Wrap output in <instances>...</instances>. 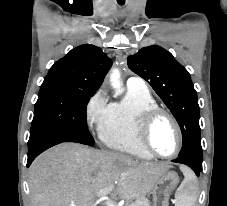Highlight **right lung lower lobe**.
<instances>
[{"instance_id": "98d812e1", "label": "right lung lower lobe", "mask_w": 227, "mask_h": 206, "mask_svg": "<svg viewBox=\"0 0 227 206\" xmlns=\"http://www.w3.org/2000/svg\"><path fill=\"white\" fill-rule=\"evenodd\" d=\"M63 142L81 143L79 139L62 132H46L28 142V161L27 167L32 161L46 149ZM83 144V143H82Z\"/></svg>"}]
</instances>
